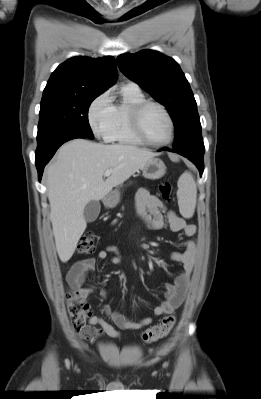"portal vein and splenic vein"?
Masks as SVG:
<instances>
[{
	"mask_svg": "<svg viewBox=\"0 0 261 399\" xmlns=\"http://www.w3.org/2000/svg\"><path fill=\"white\" fill-rule=\"evenodd\" d=\"M111 173H112L111 170H107V171H105L104 176L109 177L111 175Z\"/></svg>",
	"mask_w": 261,
	"mask_h": 399,
	"instance_id": "obj_1",
	"label": "portal vein and splenic vein"
}]
</instances>
